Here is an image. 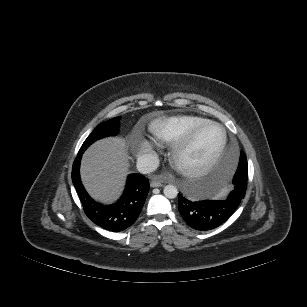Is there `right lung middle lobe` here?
<instances>
[{
  "label": "right lung middle lobe",
  "mask_w": 307,
  "mask_h": 307,
  "mask_svg": "<svg viewBox=\"0 0 307 307\" xmlns=\"http://www.w3.org/2000/svg\"><path fill=\"white\" fill-rule=\"evenodd\" d=\"M119 119L120 117H115L109 121L99 124L84 141L79 151L84 152L93 142L98 139L117 134Z\"/></svg>",
  "instance_id": "obj_1"
}]
</instances>
